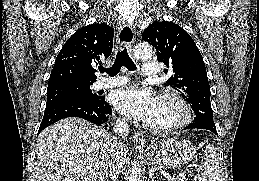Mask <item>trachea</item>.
Listing matches in <instances>:
<instances>
[{"mask_svg": "<svg viewBox=\"0 0 259 181\" xmlns=\"http://www.w3.org/2000/svg\"><path fill=\"white\" fill-rule=\"evenodd\" d=\"M122 66H125L130 71H135L137 69L136 65L129 57L126 48H123L120 52L117 53L116 60L110 68L101 67L99 71L101 73L106 72L111 77H114L120 72Z\"/></svg>", "mask_w": 259, "mask_h": 181, "instance_id": "obj_1", "label": "trachea"}]
</instances>
